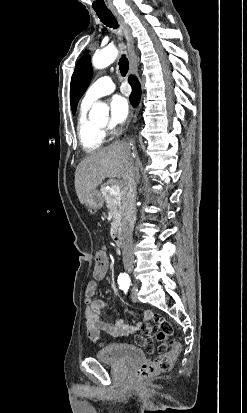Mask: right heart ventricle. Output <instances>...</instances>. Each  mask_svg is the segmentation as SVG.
<instances>
[{
  "instance_id": "right-heart-ventricle-1",
  "label": "right heart ventricle",
  "mask_w": 247,
  "mask_h": 413,
  "mask_svg": "<svg viewBox=\"0 0 247 413\" xmlns=\"http://www.w3.org/2000/svg\"><path fill=\"white\" fill-rule=\"evenodd\" d=\"M88 106L84 104V108ZM77 133L80 145L87 154H91V151H104L101 150L104 134L93 121L86 118L85 114H82L79 119Z\"/></svg>"
}]
</instances>
